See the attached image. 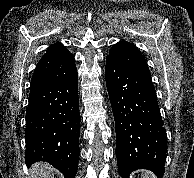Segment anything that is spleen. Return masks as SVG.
Wrapping results in <instances>:
<instances>
[{"label":"spleen","mask_w":194,"mask_h":178,"mask_svg":"<svg viewBox=\"0 0 194 178\" xmlns=\"http://www.w3.org/2000/svg\"><path fill=\"white\" fill-rule=\"evenodd\" d=\"M142 178H155V177L152 173L146 171L142 173Z\"/></svg>","instance_id":"1"}]
</instances>
